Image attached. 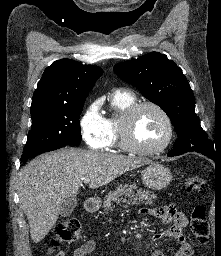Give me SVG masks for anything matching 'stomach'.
I'll return each instance as SVG.
<instances>
[{"mask_svg": "<svg viewBox=\"0 0 221 256\" xmlns=\"http://www.w3.org/2000/svg\"><path fill=\"white\" fill-rule=\"evenodd\" d=\"M143 184L152 190H161L167 187L172 181L171 171L160 163L149 164L142 172Z\"/></svg>", "mask_w": 221, "mask_h": 256, "instance_id": "obj_1", "label": "stomach"}]
</instances>
